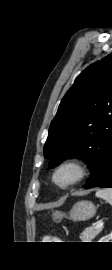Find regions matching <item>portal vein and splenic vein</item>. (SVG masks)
I'll list each match as a JSON object with an SVG mask.
<instances>
[{
    "label": "portal vein and splenic vein",
    "instance_id": "18ae733b",
    "mask_svg": "<svg viewBox=\"0 0 112 270\" xmlns=\"http://www.w3.org/2000/svg\"><path fill=\"white\" fill-rule=\"evenodd\" d=\"M103 225H104V222L103 221H99V222H97L95 228H101V227H103Z\"/></svg>",
    "mask_w": 112,
    "mask_h": 270
}]
</instances>
